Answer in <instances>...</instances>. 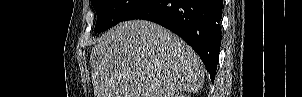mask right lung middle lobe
<instances>
[{"mask_svg":"<svg viewBox=\"0 0 302 97\" xmlns=\"http://www.w3.org/2000/svg\"><path fill=\"white\" fill-rule=\"evenodd\" d=\"M141 0H91L97 14L96 32H103L121 22L126 13Z\"/></svg>","mask_w":302,"mask_h":97,"instance_id":"right-lung-middle-lobe-1","label":"right lung middle lobe"}]
</instances>
